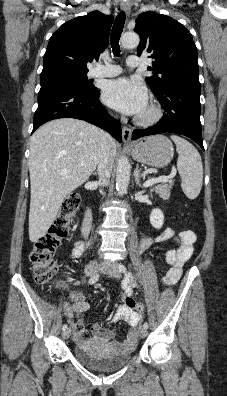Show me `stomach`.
Masks as SVG:
<instances>
[{
  "mask_svg": "<svg viewBox=\"0 0 227 396\" xmlns=\"http://www.w3.org/2000/svg\"><path fill=\"white\" fill-rule=\"evenodd\" d=\"M133 158L152 167L168 165L174 156L171 141L162 135L144 138L132 148Z\"/></svg>",
  "mask_w": 227,
  "mask_h": 396,
  "instance_id": "0dacf381",
  "label": "stomach"
}]
</instances>
